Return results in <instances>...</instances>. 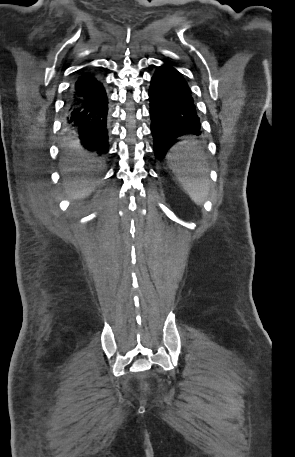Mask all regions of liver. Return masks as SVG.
<instances>
[{"mask_svg": "<svg viewBox=\"0 0 295 457\" xmlns=\"http://www.w3.org/2000/svg\"><path fill=\"white\" fill-rule=\"evenodd\" d=\"M80 158L73 160L69 157L62 160V172L70 173L84 171L89 168V163L84 159V155L80 154ZM72 161L76 165H72ZM81 162V163H80ZM96 182L93 180H67L64 182L65 191L70 199H81L88 196L95 188Z\"/></svg>", "mask_w": 295, "mask_h": 457, "instance_id": "liver-1", "label": "liver"}]
</instances>
